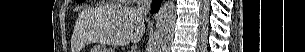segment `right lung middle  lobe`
Masks as SVG:
<instances>
[{
	"label": "right lung middle lobe",
	"mask_w": 305,
	"mask_h": 52,
	"mask_svg": "<svg viewBox=\"0 0 305 52\" xmlns=\"http://www.w3.org/2000/svg\"><path fill=\"white\" fill-rule=\"evenodd\" d=\"M77 1L82 2V1H85V0H77Z\"/></svg>",
	"instance_id": "obj_1"
}]
</instances>
